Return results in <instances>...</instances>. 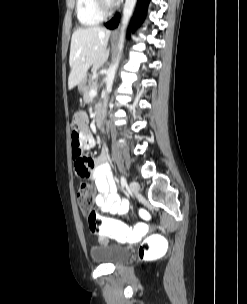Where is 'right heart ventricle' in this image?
Returning a JSON list of instances; mask_svg holds the SVG:
<instances>
[{
  "label": "right heart ventricle",
  "instance_id": "right-heart-ventricle-1",
  "mask_svg": "<svg viewBox=\"0 0 247 304\" xmlns=\"http://www.w3.org/2000/svg\"><path fill=\"white\" fill-rule=\"evenodd\" d=\"M76 14L79 23L85 27L98 25L103 20L96 11L94 0H76Z\"/></svg>",
  "mask_w": 247,
  "mask_h": 304
}]
</instances>
